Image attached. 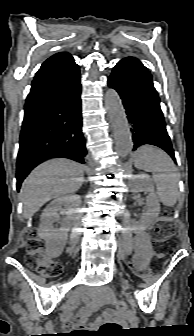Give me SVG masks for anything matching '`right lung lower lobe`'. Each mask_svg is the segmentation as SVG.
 <instances>
[{
    "label": "right lung lower lobe",
    "instance_id": "98d812e1",
    "mask_svg": "<svg viewBox=\"0 0 194 336\" xmlns=\"http://www.w3.org/2000/svg\"><path fill=\"white\" fill-rule=\"evenodd\" d=\"M80 94V71L75 62L34 78L19 141L18 191L30 171L46 159L66 157L85 163Z\"/></svg>",
    "mask_w": 194,
    "mask_h": 336
}]
</instances>
